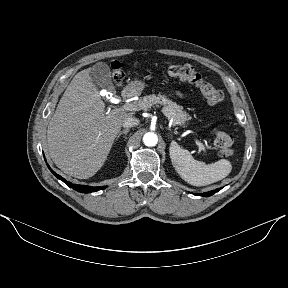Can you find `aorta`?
I'll list each match as a JSON object with an SVG mask.
<instances>
[{
  "instance_id": "1",
  "label": "aorta",
  "mask_w": 288,
  "mask_h": 288,
  "mask_svg": "<svg viewBox=\"0 0 288 288\" xmlns=\"http://www.w3.org/2000/svg\"><path fill=\"white\" fill-rule=\"evenodd\" d=\"M143 142L146 146L152 147L155 146L158 142V137L153 132H148L143 137Z\"/></svg>"
}]
</instances>
